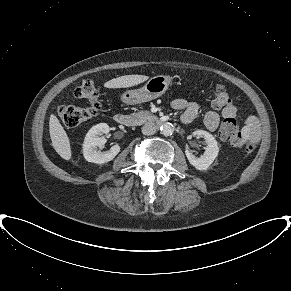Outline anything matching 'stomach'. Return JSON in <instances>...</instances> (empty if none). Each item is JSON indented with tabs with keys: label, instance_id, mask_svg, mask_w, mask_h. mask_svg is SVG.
Here are the masks:
<instances>
[{
	"label": "stomach",
	"instance_id": "obj_1",
	"mask_svg": "<svg viewBox=\"0 0 291 291\" xmlns=\"http://www.w3.org/2000/svg\"><path fill=\"white\" fill-rule=\"evenodd\" d=\"M171 83V77L158 75L151 78L143 87L125 91L121 100L125 104H140L156 99L163 95Z\"/></svg>",
	"mask_w": 291,
	"mask_h": 291
}]
</instances>
